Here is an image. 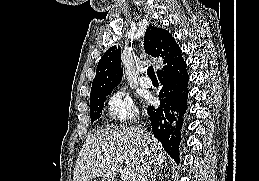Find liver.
Masks as SVG:
<instances>
[{
    "label": "liver",
    "instance_id": "obj_1",
    "mask_svg": "<svg viewBox=\"0 0 259 181\" xmlns=\"http://www.w3.org/2000/svg\"><path fill=\"white\" fill-rule=\"evenodd\" d=\"M154 170L164 162L165 152L160 142L134 127H106L86 138L77 158L73 181H90L102 177L111 181L121 169L125 157L129 181H136L145 158Z\"/></svg>",
    "mask_w": 259,
    "mask_h": 181
}]
</instances>
